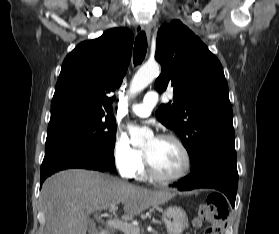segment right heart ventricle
Masks as SVG:
<instances>
[{
	"mask_svg": "<svg viewBox=\"0 0 279 234\" xmlns=\"http://www.w3.org/2000/svg\"><path fill=\"white\" fill-rule=\"evenodd\" d=\"M134 176H136L139 179H144L146 177V171H145V165H144V156L142 157V160L140 162V165L135 172Z\"/></svg>",
	"mask_w": 279,
	"mask_h": 234,
	"instance_id": "right-heart-ventricle-1",
	"label": "right heart ventricle"
}]
</instances>
